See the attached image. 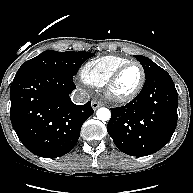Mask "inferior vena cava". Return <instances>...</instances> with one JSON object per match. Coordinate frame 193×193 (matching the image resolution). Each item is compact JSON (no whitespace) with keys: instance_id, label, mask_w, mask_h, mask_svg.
I'll use <instances>...</instances> for the list:
<instances>
[{"instance_id":"obj_1","label":"inferior vena cava","mask_w":193,"mask_h":193,"mask_svg":"<svg viewBox=\"0 0 193 193\" xmlns=\"http://www.w3.org/2000/svg\"><path fill=\"white\" fill-rule=\"evenodd\" d=\"M71 99L75 104L81 105L87 103L90 99V96L86 90L78 88L72 93Z\"/></svg>"}]
</instances>
